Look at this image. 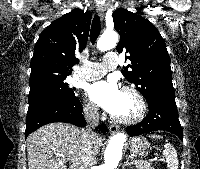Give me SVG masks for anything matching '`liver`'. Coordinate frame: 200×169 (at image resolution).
I'll return each mask as SVG.
<instances>
[{
  "label": "liver",
  "mask_w": 200,
  "mask_h": 169,
  "mask_svg": "<svg viewBox=\"0 0 200 169\" xmlns=\"http://www.w3.org/2000/svg\"><path fill=\"white\" fill-rule=\"evenodd\" d=\"M103 139L93 137L95 155ZM29 169H80L82 157V130L67 123L47 124L27 138Z\"/></svg>",
  "instance_id": "obj_1"
}]
</instances>
